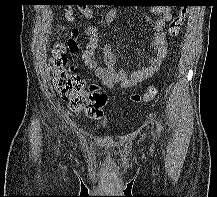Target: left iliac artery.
Instances as JSON below:
<instances>
[{
  "label": "left iliac artery",
  "instance_id": "obj_1",
  "mask_svg": "<svg viewBox=\"0 0 217 197\" xmlns=\"http://www.w3.org/2000/svg\"><path fill=\"white\" fill-rule=\"evenodd\" d=\"M156 129H157L158 135H160V133H161V125L157 120H156Z\"/></svg>",
  "mask_w": 217,
  "mask_h": 197
}]
</instances>
